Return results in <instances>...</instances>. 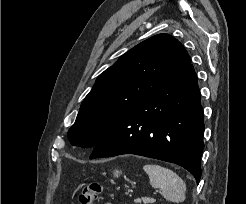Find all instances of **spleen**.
I'll use <instances>...</instances> for the list:
<instances>
[{
    "label": "spleen",
    "instance_id": "1",
    "mask_svg": "<svg viewBox=\"0 0 246 204\" xmlns=\"http://www.w3.org/2000/svg\"><path fill=\"white\" fill-rule=\"evenodd\" d=\"M143 169L149 176L150 185L160 188L167 201L181 203L185 200L186 184L174 171L156 164H146Z\"/></svg>",
    "mask_w": 246,
    "mask_h": 204
}]
</instances>
